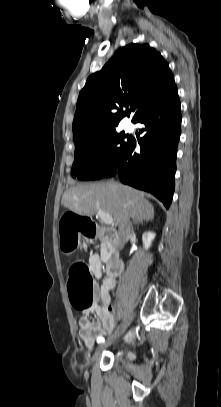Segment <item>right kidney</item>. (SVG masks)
I'll use <instances>...</instances> for the list:
<instances>
[{
  "mask_svg": "<svg viewBox=\"0 0 221 407\" xmlns=\"http://www.w3.org/2000/svg\"><path fill=\"white\" fill-rule=\"evenodd\" d=\"M154 238H155V233H153V232L148 231V232L143 233L142 240H143L144 248L146 250L151 246V243Z\"/></svg>",
  "mask_w": 221,
  "mask_h": 407,
  "instance_id": "1",
  "label": "right kidney"
}]
</instances>
